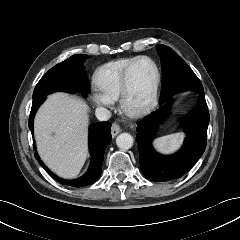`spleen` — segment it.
<instances>
[{
  "label": "spleen",
  "instance_id": "spleen-1",
  "mask_svg": "<svg viewBox=\"0 0 240 240\" xmlns=\"http://www.w3.org/2000/svg\"><path fill=\"white\" fill-rule=\"evenodd\" d=\"M183 138V133H174L162 136L154 141V146L159 152L163 154H170L180 148Z\"/></svg>",
  "mask_w": 240,
  "mask_h": 240
}]
</instances>
